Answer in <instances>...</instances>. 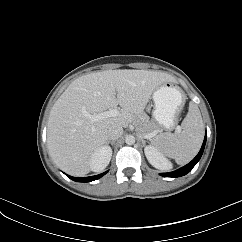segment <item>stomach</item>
Returning a JSON list of instances; mask_svg holds the SVG:
<instances>
[{
	"label": "stomach",
	"mask_w": 242,
	"mask_h": 242,
	"mask_svg": "<svg viewBox=\"0 0 242 242\" xmlns=\"http://www.w3.org/2000/svg\"><path fill=\"white\" fill-rule=\"evenodd\" d=\"M153 101V118L158 126L168 130L173 128L185 103L183 91L178 86L166 82L154 91Z\"/></svg>",
	"instance_id": "stomach-1"
}]
</instances>
